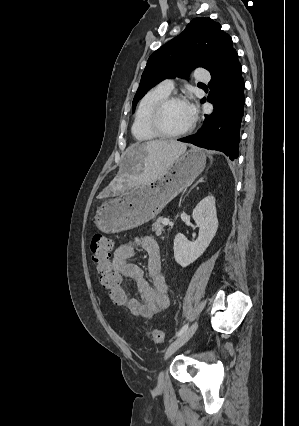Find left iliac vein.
<instances>
[{
  "label": "left iliac vein",
  "instance_id": "1",
  "mask_svg": "<svg viewBox=\"0 0 299 426\" xmlns=\"http://www.w3.org/2000/svg\"><path fill=\"white\" fill-rule=\"evenodd\" d=\"M198 327V323L194 322L182 335L174 340L166 349L164 359H168L175 351L183 346L195 333ZM164 384V372L161 371L158 376V387H162Z\"/></svg>",
  "mask_w": 299,
  "mask_h": 426
}]
</instances>
